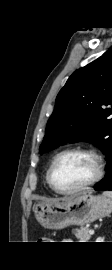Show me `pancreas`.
Here are the masks:
<instances>
[{
  "label": "pancreas",
  "mask_w": 112,
  "mask_h": 270,
  "mask_svg": "<svg viewBox=\"0 0 112 270\" xmlns=\"http://www.w3.org/2000/svg\"><path fill=\"white\" fill-rule=\"evenodd\" d=\"M73 233L79 240V242H88V240L90 239L89 229L87 227L75 229L73 230Z\"/></svg>",
  "instance_id": "obj_1"
}]
</instances>
